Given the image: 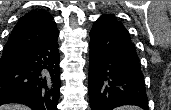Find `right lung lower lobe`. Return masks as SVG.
<instances>
[{
  "label": "right lung lower lobe",
  "instance_id": "right-lung-lower-lobe-1",
  "mask_svg": "<svg viewBox=\"0 0 171 110\" xmlns=\"http://www.w3.org/2000/svg\"><path fill=\"white\" fill-rule=\"evenodd\" d=\"M58 34L24 51L16 64L0 69V105L14 102L33 110H57L61 84Z\"/></svg>",
  "mask_w": 171,
  "mask_h": 110
}]
</instances>
